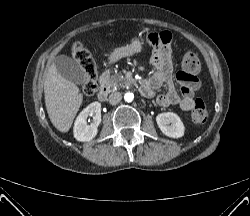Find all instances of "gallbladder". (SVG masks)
<instances>
[{"mask_svg": "<svg viewBox=\"0 0 250 216\" xmlns=\"http://www.w3.org/2000/svg\"><path fill=\"white\" fill-rule=\"evenodd\" d=\"M58 72L68 81L75 84H84L87 80L86 71L72 58L60 55L55 59Z\"/></svg>", "mask_w": 250, "mask_h": 216, "instance_id": "obj_1", "label": "gallbladder"}]
</instances>
